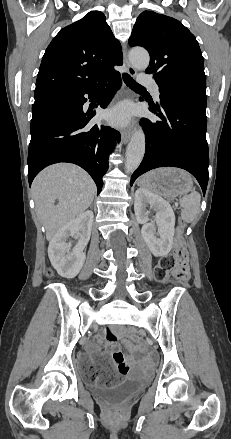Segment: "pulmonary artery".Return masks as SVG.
Wrapping results in <instances>:
<instances>
[{
    "mask_svg": "<svg viewBox=\"0 0 231 439\" xmlns=\"http://www.w3.org/2000/svg\"><path fill=\"white\" fill-rule=\"evenodd\" d=\"M139 80L140 83L148 86L152 90L155 99L158 100L160 96L158 84L150 76L147 75L140 76Z\"/></svg>",
    "mask_w": 231,
    "mask_h": 439,
    "instance_id": "e3ab8cb5",
    "label": "pulmonary artery"
}]
</instances>
